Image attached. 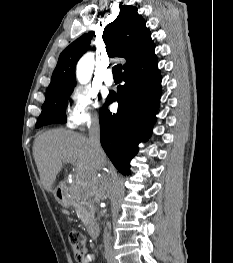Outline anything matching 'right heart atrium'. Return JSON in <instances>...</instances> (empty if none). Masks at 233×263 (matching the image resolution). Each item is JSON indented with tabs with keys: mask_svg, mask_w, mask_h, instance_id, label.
Returning <instances> with one entry per match:
<instances>
[{
	"mask_svg": "<svg viewBox=\"0 0 233 263\" xmlns=\"http://www.w3.org/2000/svg\"><path fill=\"white\" fill-rule=\"evenodd\" d=\"M97 107L98 99L93 91L87 87L73 88L66 116L67 126L74 129L95 122L98 119Z\"/></svg>",
	"mask_w": 233,
	"mask_h": 263,
	"instance_id": "right-heart-atrium-1",
	"label": "right heart atrium"
}]
</instances>
